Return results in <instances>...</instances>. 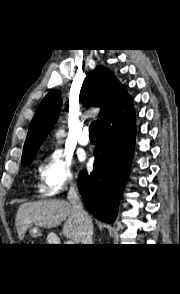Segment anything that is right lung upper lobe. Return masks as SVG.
Returning a JSON list of instances; mask_svg holds the SVG:
<instances>
[{"mask_svg": "<svg viewBox=\"0 0 180 294\" xmlns=\"http://www.w3.org/2000/svg\"><path fill=\"white\" fill-rule=\"evenodd\" d=\"M80 99L85 106L100 107V122L131 99L126 88L115 75L103 66H97L84 81ZM61 93L51 91L42 100L31 121L24 144L22 161L35 156L42 142L57 121Z\"/></svg>", "mask_w": 180, "mask_h": 294, "instance_id": "right-lung-upper-lobe-1", "label": "right lung upper lobe"}]
</instances>
